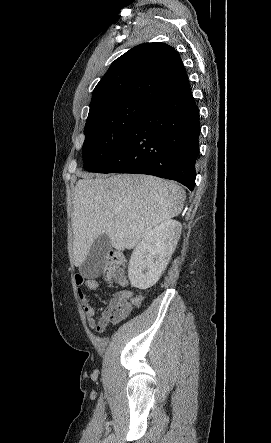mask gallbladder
<instances>
[{"label":"gallbladder","instance_id":"bac80fb5","mask_svg":"<svg viewBox=\"0 0 271 443\" xmlns=\"http://www.w3.org/2000/svg\"><path fill=\"white\" fill-rule=\"evenodd\" d=\"M112 247L109 235H99L87 252L85 260H81L79 271L84 278H95L97 273H104L107 269V260L111 259L110 249Z\"/></svg>","mask_w":271,"mask_h":443}]
</instances>
